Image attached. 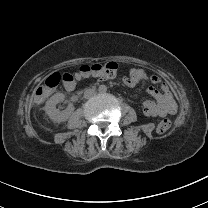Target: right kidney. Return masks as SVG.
<instances>
[{
	"label": "right kidney",
	"mask_w": 208,
	"mask_h": 208,
	"mask_svg": "<svg viewBox=\"0 0 208 208\" xmlns=\"http://www.w3.org/2000/svg\"><path fill=\"white\" fill-rule=\"evenodd\" d=\"M65 95L63 93H56L54 94L45 104L44 110L46 114L52 119L54 122H63L66 121L70 115L73 106L70 105L69 109L64 111H59L56 109V104L59 102L64 101ZM71 108V109H70Z\"/></svg>",
	"instance_id": "right-kidney-1"
}]
</instances>
